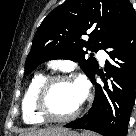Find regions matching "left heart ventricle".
Listing matches in <instances>:
<instances>
[{
  "mask_svg": "<svg viewBox=\"0 0 136 136\" xmlns=\"http://www.w3.org/2000/svg\"><path fill=\"white\" fill-rule=\"evenodd\" d=\"M77 87L74 82H56L49 90L47 107L55 116H67L80 105Z\"/></svg>",
  "mask_w": 136,
  "mask_h": 136,
  "instance_id": "obj_1",
  "label": "left heart ventricle"
}]
</instances>
